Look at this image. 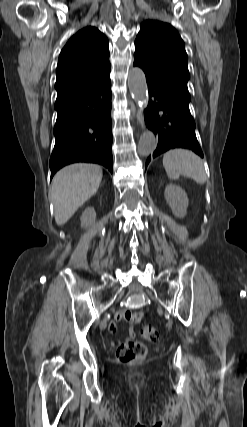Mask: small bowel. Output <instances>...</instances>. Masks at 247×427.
Wrapping results in <instances>:
<instances>
[{
  "label": "small bowel",
  "instance_id": "obj_1",
  "mask_svg": "<svg viewBox=\"0 0 247 427\" xmlns=\"http://www.w3.org/2000/svg\"><path fill=\"white\" fill-rule=\"evenodd\" d=\"M143 318V312H132L130 310H120L118 311L115 316L114 320L110 322L108 326V330L111 333H115L117 331V324L122 321H128L130 324L135 325L141 321ZM135 333L133 328L130 329L129 337L132 339L134 338Z\"/></svg>",
  "mask_w": 247,
  "mask_h": 427
}]
</instances>
